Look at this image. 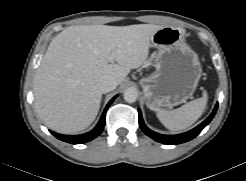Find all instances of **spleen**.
<instances>
[{"label":"spleen","instance_id":"obj_1","mask_svg":"<svg viewBox=\"0 0 246 181\" xmlns=\"http://www.w3.org/2000/svg\"><path fill=\"white\" fill-rule=\"evenodd\" d=\"M206 105L207 92L204 91L201 98L190 101L180 108L171 111L157 110V117L167 129L179 131L188 128L196 122L203 114Z\"/></svg>","mask_w":246,"mask_h":181}]
</instances>
